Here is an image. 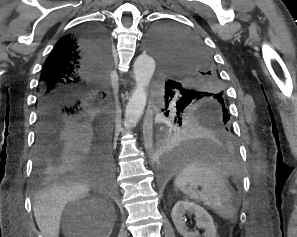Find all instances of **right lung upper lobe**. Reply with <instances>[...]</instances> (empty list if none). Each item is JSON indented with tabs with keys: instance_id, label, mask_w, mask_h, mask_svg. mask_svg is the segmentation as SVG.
Returning <instances> with one entry per match:
<instances>
[{
	"instance_id": "1",
	"label": "right lung upper lobe",
	"mask_w": 297,
	"mask_h": 237,
	"mask_svg": "<svg viewBox=\"0 0 297 237\" xmlns=\"http://www.w3.org/2000/svg\"><path fill=\"white\" fill-rule=\"evenodd\" d=\"M82 29L61 38L47 57L40 76L41 96L77 101L104 85L106 72L97 74L86 66Z\"/></svg>"
}]
</instances>
